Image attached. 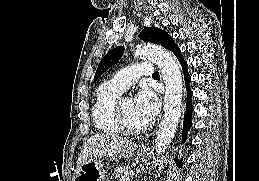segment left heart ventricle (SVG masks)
I'll use <instances>...</instances> for the list:
<instances>
[{"mask_svg":"<svg viewBox=\"0 0 259 181\" xmlns=\"http://www.w3.org/2000/svg\"><path fill=\"white\" fill-rule=\"evenodd\" d=\"M122 108L127 116L129 122L133 125H144L147 122L144 121L137 113L135 108L134 99L126 98L121 103Z\"/></svg>","mask_w":259,"mask_h":181,"instance_id":"1","label":"left heart ventricle"}]
</instances>
